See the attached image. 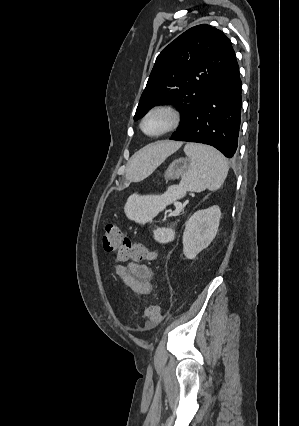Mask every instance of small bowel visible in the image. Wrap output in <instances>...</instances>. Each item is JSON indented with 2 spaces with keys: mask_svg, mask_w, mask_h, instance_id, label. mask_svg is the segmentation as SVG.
Masks as SVG:
<instances>
[{
  "mask_svg": "<svg viewBox=\"0 0 299 426\" xmlns=\"http://www.w3.org/2000/svg\"><path fill=\"white\" fill-rule=\"evenodd\" d=\"M116 273L135 293L147 294L151 290L152 271L147 265L136 262L117 265Z\"/></svg>",
  "mask_w": 299,
  "mask_h": 426,
  "instance_id": "small-bowel-1",
  "label": "small bowel"
}]
</instances>
